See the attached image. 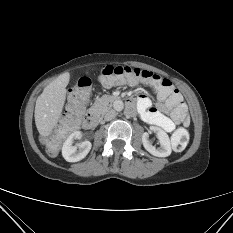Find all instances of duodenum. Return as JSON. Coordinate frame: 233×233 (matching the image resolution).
I'll return each instance as SVG.
<instances>
[{
  "mask_svg": "<svg viewBox=\"0 0 233 233\" xmlns=\"http://www.w3.org/2000/svg\"><path fill=\"white\" fill-rule=\"evenodd\" d=\"M127 111L133 112V104L130 100L127 101ZM99 120V115L95 111H90L86 114L84 119V127L87 129L93 128L96 126Z\"/></svg>",
  "mask_w": 233,
  "mask_h": 233,
  "instance_id": "obj_1",
  "label": "duodenum"
}]
</instances>
